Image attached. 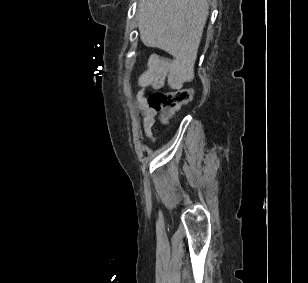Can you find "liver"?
<instances>
[{"label": "liver", "mask_w": 308, "mask_h": 283, "mask_svg": "<svg viewBox=\"0 0 308 283\" xmlns=\"http://www.w3.org/2000/svg\"><path fill=\"white\" fill-rule=\"evenodd\" d=\"M208 0H140L138 30L147 47L194 64L209 12Z\"/></svg>", "instance_id": "6515ba94"}]
</instances>
